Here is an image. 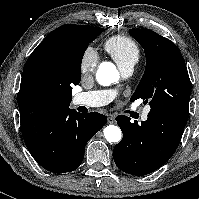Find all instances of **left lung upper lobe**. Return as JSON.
Here are the masks:
<instances>
[{
  "instance_id": "left-lung-upper-lobe-1",
  "label": "left lung upper lobe",
  "mask_w": 199,
  "mask_h": 199,
  "mask_svg": "<svg viewBox=\"0 0 199 199\" xmlns=\"http://www.w3.org/2000/svg\"><path fill=\"white\" fill-rule=\"evenodd\" d=\"M129 33L146 55L144 75L130 100L141 98L149 102L150 111L188 120L191 82L180 50L150 29H130Z\"/></svg>"
}]
</instances>
